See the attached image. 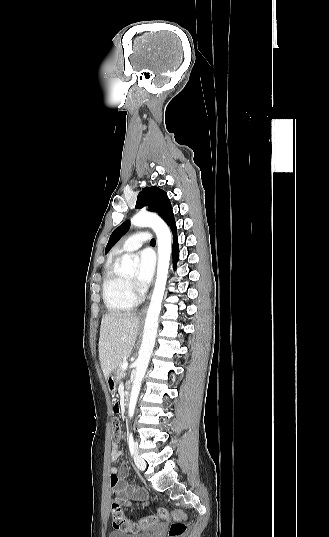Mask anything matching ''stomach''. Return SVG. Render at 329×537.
Masks as SVG:
<instances>
[{"mask_svg": "<svg viewBox=\"0 0 329 537\" xmlns=\"http://www.w3.org/2000/svg\"><path fill=\"white\" fill-rule=\"evenodd\" d=\"M118 383V380L116 379L115 373L110 374V376L107 378V385L109 391H115L116 384Z\"/></svg>", "mask_w": 329, "mask_h": 537, "instance_id": "1", "label": "stomach"}]
</instances>
